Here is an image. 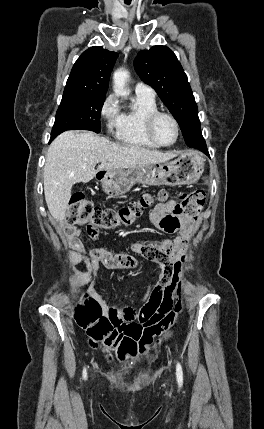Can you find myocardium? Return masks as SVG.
Instances as JSON below:
<instances>
[{"label":"myocardium","instance_id":"obj_1","mask_svg":"<svg viewBox=\"0 0 264 429\" xmlns=\"http://www.w3.org/2000/svg\"><path fill=\"white\" fill-rule=\"evenodd\" d=\"M160 117H166V118L170 119L172 121V123L174 124L176 135H175V139L169 144H165V143L160 142L155 135V123ZM145 132H146L148 138L154 144H156L158 147H170V146L174 145L179 138L180 126H179L178 120L176 119V117L174 115H172L169 112L156 110L147 116L146 121H145Z\"/></svg>","mask_w":264,"mask_h":429}]
</instances>
